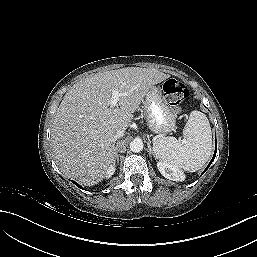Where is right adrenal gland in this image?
Segmentation results:
<instances>
[{
	"mask_svg": "<svg viewBox=\"0 0 257 257\" xmlns=\"http://www.w3.org/2000/svg\"><path fill=\"white\" fill-rule=\"evenodd\" d=\"M114 153H115V157L117 159V163H119V155L118 152L116 151V147L114 146Z\"/></svg>",
	"mask_w": 257,
	"mask_h": 257,
	"instance_id": "right-adrenal-gland-1",
	"label": "right adrenal gland"
}]
</instances>
